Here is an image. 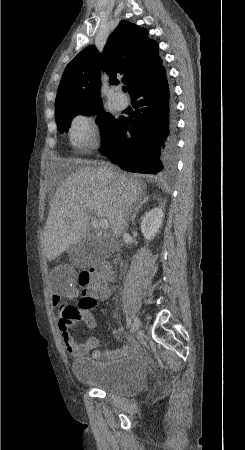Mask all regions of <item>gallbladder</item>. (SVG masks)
<instances>
[{
	"instance_id": "obj_1",
	"label": "gallbladder",
	"mask_w": 245,
	"mask_h": 450,
	"mask_svg": "<svg viewBox=\"0 0 245 450\" xmlns=\"http://www.w3.org/2000/svg\"><path fill=\"white\" fill-rule=\"evenodd\" d=\"M110 254V250L105 243L96 240H84L70 253L71 262L77 267L103 260Z\"/></svg>"
}]
</instances>
